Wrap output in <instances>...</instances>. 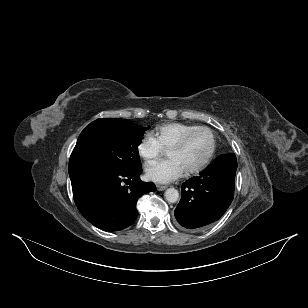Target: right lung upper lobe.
Returning a JSON list of instances; mask_svg holds the SVG:
<instances>
[{
    "instance_id": "right-lung-upper-lobe-1",
    "label": "right lung upper lobe",
    "mask_w": 308,
    "mask_h": 308,
    "mask_svg": "<svg viewBox=\"0 0 308 308\" xmlns=\"http://www.w3.org/2000/svg\"><path fill=\"white\" fill-rule=\"evenodd\" d=\"M106 119H111V118H106ZM112 120H126V119H112Z\"/></svg>"
}]
</instances>
